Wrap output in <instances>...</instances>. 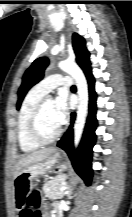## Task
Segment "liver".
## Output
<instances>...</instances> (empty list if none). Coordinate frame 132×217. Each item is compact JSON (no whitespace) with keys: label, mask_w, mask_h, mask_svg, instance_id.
Returning <instances> with one entry per match:
<instances>
[{"label":"liver","mask_w":132,"mask_h":217,"mask_svg":"<svg viewBox=\"0 0 132 217\" xmlns=\"http://www.w3.org/2000/svg\"><path fill=\"white\" fill-rule=\"evenodd\" d=\"M58 150L56 148H44L41 150L34 151L30 154H26L21 156L16 164H15V171H14V179L19 174V172L34 163H38L41 161L46 160L47 158L51 157L53 154H55Z\"/></svg>","instance_id":"6515ba94"}]
</instances>
